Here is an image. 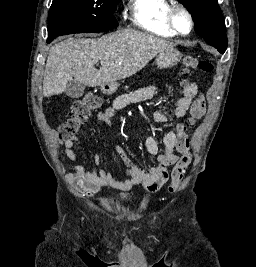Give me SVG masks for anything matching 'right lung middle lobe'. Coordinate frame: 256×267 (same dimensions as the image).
Returning a JSON list of instances; mask_svg holds the SVG:
<instances>
[{"mask_svg":"<svg viewBox=\"0 0 256 267\" xmlns=\"http://www.w3.org/2000/svg\"><path fill=\"white\" fill-rule=\"evenodd\" d=\"M121 0H53L49 10L48 39L73 33L101 32L117 27L113 16Z\"/></svg>","mask_w":256,"mask_h":267,"instance_id":"1","label":"right lung middle lobe"}]
</instances>
